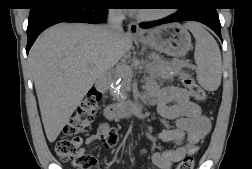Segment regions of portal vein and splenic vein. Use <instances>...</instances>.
I'll list each match as a JSON object with an SVG mask.
<instances>
[{"label":"portal vein and splenic vein","instance_id":"portal-vein-and-splenic-vein-1","mask_svg":"<svg viewBox=\"0 0 252 169\" xmlns=\"http://www.w3.org/2000/svg\"><path fill=\"white\" fill-rule=\"evenodd\" d=\"M117 69L122 75L131 76L133 74V69L128 65H119L117 66Z\"/></svg>","mask_w":252,"mask_h":169}]
</instances>
